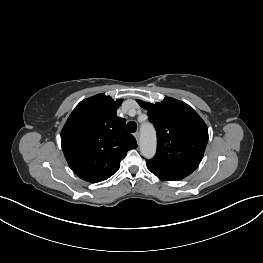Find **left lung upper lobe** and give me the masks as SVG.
I'll return each instance as SVG.
<instances>
[{
    "instance_id": "1",
    "label": "left lung upper lobe",
    "mask_w": 263,
    "mask_h": 263,
    "mask_svg": "<svg viewBox=\"0 0 263 263\" xmlns=\"http://www.w3.org/2000/svg\"><path fill=\"white\" fill-rule=\"evenodd\" d=\"M148 111L157 131V152L147 168L162 180L176 181L190 175L202 160L208 129L197 112L184 102L166 97L151 104L137 100Z\"/></svg>"
}]
</instances>
